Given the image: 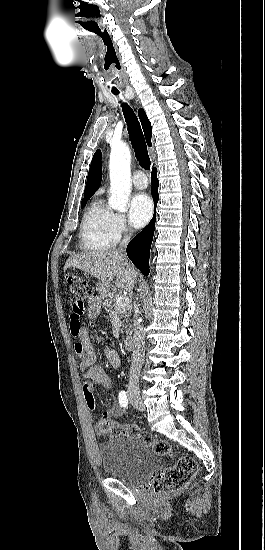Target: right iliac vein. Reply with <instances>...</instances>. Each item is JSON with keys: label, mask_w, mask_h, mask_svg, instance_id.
<instances>
[{"label": "right iliac vein", "mask_w": 265, "mask_h": 550, "mask_svg": "<svg viewBox=\"0 0 265 550\" xmlns=\"http://www.w3.org/2000/svg\"><path fill=\"white\" fill-rule=\"evenodd\" d=\"M128 396H129V400L131 402V404L136 408V409H139V410H144L145 409V405L143 403V400L140 396V391L138 389V387L132 385L129 387L128 389Z\"/></svg>", "instance_id": "obj_1"}]
</instances>
